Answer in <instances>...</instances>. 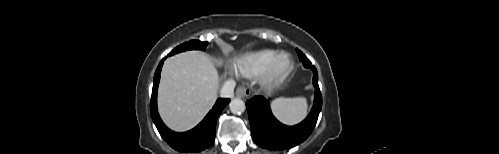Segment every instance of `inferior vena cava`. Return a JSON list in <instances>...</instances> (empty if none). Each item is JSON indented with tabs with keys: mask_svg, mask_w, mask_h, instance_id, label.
<instances>
[{
	"mask_svg": "<svg viewBox=\"0 0 499 154\" xmlns=\"http://www.w3.org/2000/svg\"><path fill=\"white\" fill-rule=\"evenodd\" d=\"M236 82L234 80H227L220 91V97L222 98H232L234 95V88Z\"/></svg>",
	"mask_w": 499,
	"mask_h": 154,
	"instance_id": "1",
	"label": "inferior vena cava"
}]
</instances>
